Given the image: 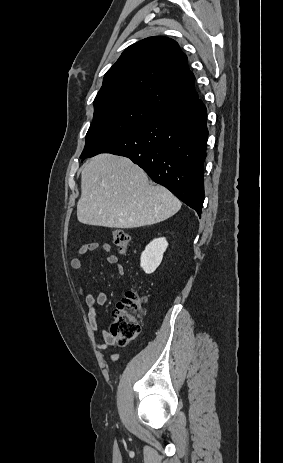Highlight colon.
Segmentation results:
<instances>
[{
	"mask_svg": "<svg viewBox=\"0 0 283 463\" xmlns=\"http://www.w3.org/2000/svg\"><path fill=\"white\" fill-rule=\"evenodd\" d=\"M111 238L120 252L125 253L130 248L131 238L126 231L114 229ZM145 299L144 295L130 289L114 309L110 333L119 345H125L140 335Z\"/></svg>",
	"mask_w": 283,
	"mask_h": 463,
	"instance_id": "5ec220e1",
	"label": "colon"
}]
</instances>
